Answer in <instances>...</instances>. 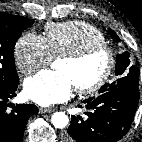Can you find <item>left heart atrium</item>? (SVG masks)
I'll return each mask as SVG.
<instances>
[{
  "instance_id": "39dd6f15",
  "label": "left heart atrium",
  "mask_w": 142,
  "mask_h": 142,
  "mask_svg": "<svg viewBox=\"0 0 142 142\" xmlns=\"http://www.w3.org/2000/svg\"><path fill=\"white\" fill-rule=\"evenodd\" d=\"M73 87V82L66 73L42 70L26 79L24 92L35 103L48 106L68 99Z\"/></svg>"
}]
</instances>
